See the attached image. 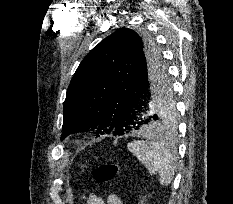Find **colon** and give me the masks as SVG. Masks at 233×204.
I'll return each instance as SVG.
<instances>
[{
    "instance_id": "1",
    "label": "colon",
    "mask_w": 233,
    "mask_h": 204,
    "mask_svg": "<svg viewBox=\"0 0 233 204\" xmlns=\"http://www.w3.org/2000/svg\"><path fill=\"white\" fill-rule=\"evenodd\" d=\"M118 172L119 166L117 164H102L94 169L93 177L98 183H107L113 180Z\"/></svg>"
}]
</instances>
